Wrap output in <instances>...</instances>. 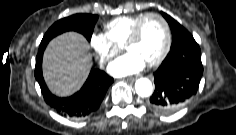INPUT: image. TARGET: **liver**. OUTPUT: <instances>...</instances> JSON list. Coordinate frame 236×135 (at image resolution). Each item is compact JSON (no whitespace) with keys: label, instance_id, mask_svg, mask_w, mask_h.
<instances>
[{"label":"liver","instance_id":"obj_1","mask_svg":"<svg viewBox=\"0 0 236 135\" xmlns=\"http://www.w3.org/2000/svg\"><path fill=\"white\" fill-rule=\"evenodd\" d=\"M91 66L89 44L76 32L52 39L44 52L43 76L49 89L58 96H69L77 91Z\"/></svg>","mask_w":236,"mask_h":135}]
</instances>
